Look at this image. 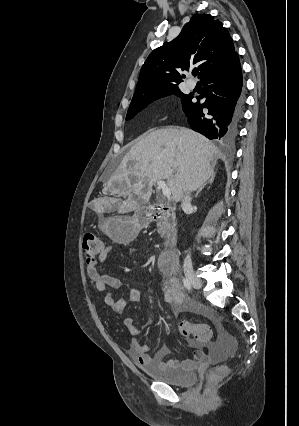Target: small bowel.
<instances>
[{
	"label": "small bowel",
	"mask_w": 299,
	"mask_h": 426,
	"mask_svg": "<svg viewBox=\"0 0 299 426\" xmlns=\"http://www.w3.org/2000/svg\"><path fill=\"white\" fill-rule=\"evenodd\" d=\"M112 249L113 247L111 245L103 247L97 263L87 265V274L95 288L103 294L104 303L113 312L122 315L124 314L127 303H139L141 301V295L138 290L131 288L128 289L126 294L120 298H116L114 296L112 289L120 288L122 286L121 280L118 277L103 272L98 267L99 264H103L106 261L108 255L112 252ZM161 291L165 301L172 306L174 313L187 311L199 312L210 318L218 326V322L215 317L208 310L198 306L185 295L175 273H164L161 281ZM123 324L131 335L129 354L141 365L150 364L158 368H182L190 370L208 363L210 357L206 351L213 354L215 353L213 344L193 340L189 342V346L195 348L191 359L179 361L174 358H168L170 351L166 346L161 347L154 355H151L150 347L147 344L141 343L138 339L141 331L137 327L134 319L126 317L123 320Z\"/></svg>",
	"instance_id": "c3829d8e"
}]
</instances>
